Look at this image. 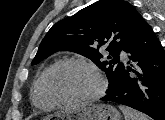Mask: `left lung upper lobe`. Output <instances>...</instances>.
Returning <instances> with one entry per match:
<instances>
[{"label": "left lung upper lobe", "mask_w": 165, "mask_h": 120, "mask_svg": "<svg viewBox=\"0 0 165 120\" xmlns=\"http://www.w3.org/2000/svg\"><path fill=\"white\" fill-rule=\"evenodd\" d=\"M144 23L129 2L99 0L54 24L43 38L32 64L57 51H73L91 59L106 73L108 92H111L117 88L122 72L120 52L126 49ZM101 46L109 52V61L101 60L103 55L98 52Z\"/></svg>", "instance_id": "left-lung-upper-lobe-1"}]
</instances>
